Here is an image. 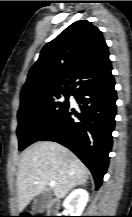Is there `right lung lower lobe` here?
<instances>
[{
    "label": "right lung lower lobe",
    "mask_w": 132,
    "mask_h": 217,
    "mask_svg": "<svg viewBox=\"0 0 132 217\" xmlns=\"http://www.w3.org/2000/svg\"><path fill=\"white\" fill-rule=\"evenodd\" d=\"M115 81L109 80L73 93L80 112L68 109L39 140L58 142L73 151L93 174L96 189L102 183L112 147L116 115ZM74 114L78 120L71 118Z\"/></svg>",
    "instance_id": "obj_1"
}]
</instances>
